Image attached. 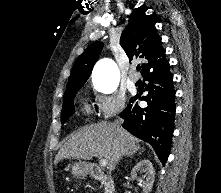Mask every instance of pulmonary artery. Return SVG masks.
I'll return each mask as SVG.
<instances>
[{
	"mask_svg": "<svg viewBox=\"0 0 221 193\" xmlns=\"http://www.w3.org/2000/svg\"><path fill=\"white\" fill-rule=\"evenodd\" d=\"M130 81L136 83L139 80V75L136 72H131L129 75Z\"/></svg>",
	"mask_w": 221,
	"mask_h": 193,
	"instance_id": "obj_1",
	"label": "pulmonary artery"
}]
</instances>
